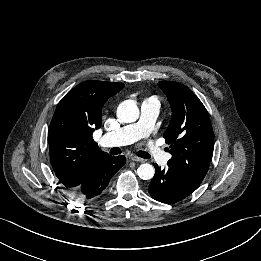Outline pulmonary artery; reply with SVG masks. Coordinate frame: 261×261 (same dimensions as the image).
Returning a JSON list of instances; mask_svg holds the SVG:
<instances>
[{
  "instance_id": "1",
  "label": "pulmonary artery",
  "mask_w": 261,
  "mask_h": 261,
  "mask_svg": "<svg viewBox=\"0 0 261 261\" xmlns=\"http://www.w3.org/2000/svg\"><path fill=\"white\" fill-rule=\"evenodd\" d=\"M159 109L155 99L150 98L143 101L141 105L140 120L117 131L105 134L100 143L102 146H124L141 138H148L157 118ZM148 154L160 166L167 164L170 154L165 153L154 141L147 144Z\"/></svg>"
}]
</instances>
